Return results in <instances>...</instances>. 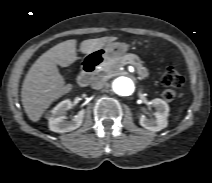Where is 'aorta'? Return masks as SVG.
<instances>
[{
    "mask_svg": "<svg viewBox=\"0 0 212 183\" xmlns=\"http://www.w3.org/2000/svg\"><path fill=\"white\" fill-rule=\"evenodd\" d=\"M112 88L120 96H129L134 91V82L129 77L120 76L113 81Z\"/></svg>",
    "mask_w": 212,
    "mask_h": 183,
    "instance_id": "762f6f07",
    "label": "aorta"
}]
</instances>
